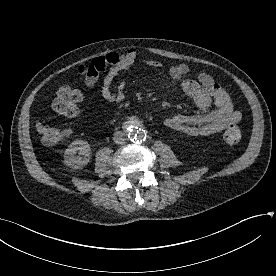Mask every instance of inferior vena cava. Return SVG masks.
Segmentation results:
<instances>
[{
	"label": "inferior vena cava",
	"instance_id": "1",
	"mask_svg": "<svg viewBox=\"0 0 276 276\" xmlns=\"http://www.w3.org/2000/svg\"><path fill=\"white\" fill-rule=\"evenodd\" d=\"M113 141L116 144H123L125 142L124 133L121 131H116L113 135Z\"/></svg>",
	"mask_w": 276,
	"mask_h": 276
}]
</instances>
